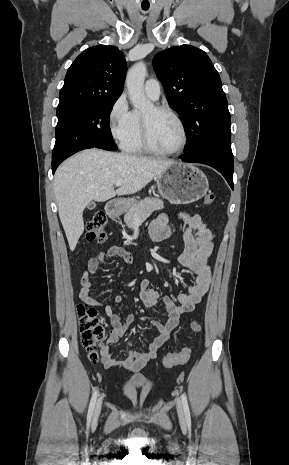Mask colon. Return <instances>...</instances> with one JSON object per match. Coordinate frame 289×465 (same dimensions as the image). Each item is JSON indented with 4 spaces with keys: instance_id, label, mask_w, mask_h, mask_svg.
<instances>
[{
    "instance_id": "5ec220e1",
    "label": "colon",
    "mask_w": 289,
    "mask_h": 465,
    "mask_svg": "<svg viewBox=\"0 0 289 465\" xmlns=\"http://www.w3.org/2000/svg\"><path fill=\"white\" fill-rule=\"evenodd\" d=\"M214 201L215 194L213 192H209L204 198V203L206 205H211ZM106 221L107 219L103 212L94 214L87 225L88 241L100 243L105 240ZM77 313L82 347L87 351L91 360L96 361L100 355L98 350L106 335L105 326L101 323L97 310L90 307L88 304H79L77 306ZM190 329L195 333H199L202 328L198 322L194 321L190 324ZM190 356L191 349L185 347L178 352L167 353L163 358V365L166 368L181 365L186 363Z\"/></svg>"
}]
</instances>
